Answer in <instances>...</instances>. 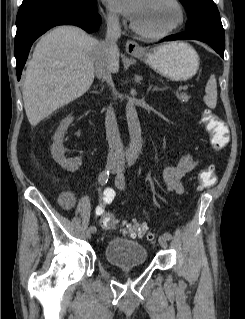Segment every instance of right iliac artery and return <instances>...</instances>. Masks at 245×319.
<instances>
[{"mask_svg":"<svg viewBox=\"0 0 245 319\" xmlns=\"http://www.w3.org/2000/svg\"><path fill=\"white\" fill-rule=\"evenodd\" d=\"M109 176H110L109 170H104V171H102V172L100 173V175H99V178H98L99 183H100L101 185H105V184L107 183L108 179H109ZM111 193H112V189H109V188H107V189L104 191V195H105L106 201H108V202H110V203L112 202V200H113V198H114V196H113V197H110ZM89 229H90L93 233L96 232V227H95V226H90Z\"/></svg>","mask_w":245,"mask_h":319,"instance_id":"82829eb1","label":"right iliac artery"}]
</instances>
